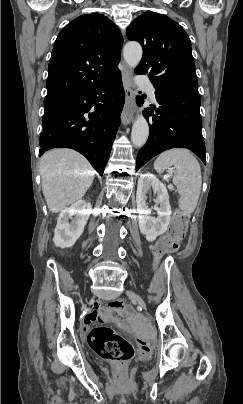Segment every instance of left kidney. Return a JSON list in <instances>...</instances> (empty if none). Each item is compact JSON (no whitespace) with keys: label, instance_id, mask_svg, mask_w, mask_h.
Listing matches in <instances>:
<instances>
[{"label":"left kidney","instance_id":"obj_1","mask_svg":"<svg viewBox=\"0 0 243 404\" xmlns=\"http://www.w3.org/2000/svg\"><path fill=\"white\" fill-rule=\"evenodd\" d=\"M151 188L153 192L157 194L156 204H159V208L158 206L153 208V210L157 212V218H151L152 210H149L148 204H146V194ZM136 204L137 214H139L140 232L145 236L148 242H154L157 236L165 234L167 226L170 224L171 206L169 204L168 192L164 184H162L160 180H157L156 176H153L150 172L140 174L137 186Z\"/></svg>","mask_w":243,"mask_h":404}]
</instances>
